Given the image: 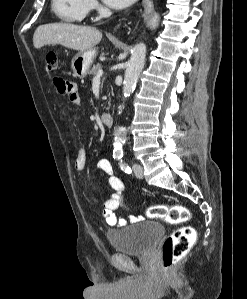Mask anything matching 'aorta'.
Here are the masks:
<instances>
[{"label":"aorta","instance_id":"aorta-1","mask_svg":"<svg viewBox=\"0 0 247 299\" xmlns=\"http://www.w3.org/2000/svg\"><path fill=\"white\" fill-rule=\"evenodd\" d=\"M146 58V45L144 43L137 44L132 49L131 57L128 61L123 83V99L128 98L136 88L139 75L144 68ZM124 109V105L118 107L119 114ZM126 142V128L116 126L114 128L113 153L119 155L122 153V146Z\"/></svg>","mask_w":247,"mask_h":299}]
</instances>
